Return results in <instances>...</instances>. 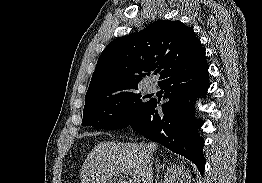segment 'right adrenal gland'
<instances>
[{
    "mask_svg": "<svg viewBox=\"0 0 262 183\" xmlns=\"http://www.w3.org/2000/svg\"><path fill=\"white\" fill-rule=\"evenodd\" d=\"M165 166H166V164L165 163H163V164H160V162H158V161H156V170H157V176H156V181H155V183H157L158 182V180H159V172H160V170L163 168H165Z\"/></svg>",
    "mask_w": 262,
    "mask_h": 183,
    "instance_id": "1",
    "label": "right adrenal gland"
}]
</instances>
